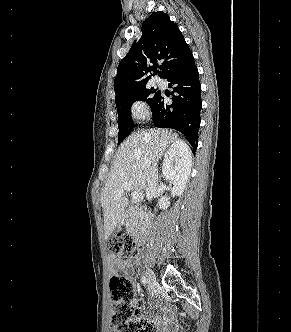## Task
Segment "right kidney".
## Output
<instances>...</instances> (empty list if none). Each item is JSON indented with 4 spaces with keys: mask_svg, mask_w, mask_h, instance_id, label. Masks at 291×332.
I'll return each instance as SVG.
<instances>
[{
    "mask_svg": "<svg viewBox=\"0 0 291 332\" xmlns=\"http://www.w3.org/2000/svg\"><path fill=\"white\" fill-rule=\"evenodd\" d=\"M192 157L187 145L177 141L171 145L163 161L162 172L164 178L173 184V191L177 196L183 193L191 172ZM160 209H167L170 201L166 196H161L159 201Z\"/></svg>",
    "mask_w": 291,
    "mask_h": 332,
    "instance_id": "1",
    "label": "right kidney"
}]
</instances>
